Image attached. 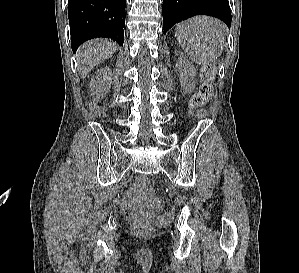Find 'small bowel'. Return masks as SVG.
<instances>
[{
  "label": "small bowel",
  "mask_w": 299,
  "mask_h": 273,
  "mask_svg": "<svg viewBox=\"0 0 299 273\" xmlns=\"http://www.w3.org/2000/svg\"><path fill=\"white\" fill-rule=\"evenodd\" d=\"M155 209H156V210H158V209H159V206H158V205H156V206H155Z\"/></svg>",
  "instance_id": "1"
}]
</instances>
